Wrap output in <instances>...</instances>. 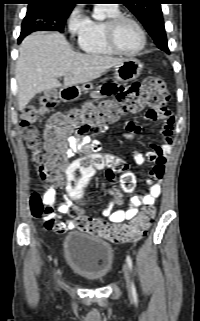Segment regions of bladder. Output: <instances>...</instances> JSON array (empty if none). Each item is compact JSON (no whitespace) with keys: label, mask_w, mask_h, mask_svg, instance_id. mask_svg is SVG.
Here are the masks:
<instances>
[{"label":"bladder","mask_w":200,"mask_h":321,"mask_svg":"<svg viewBox=\"0 0 200 321\" xmlns=\"http://www.w3.org/2000/svg\"><path fill=\"white\" fill-rule=\"evenodd\" d=\"M70 268L90 281H104L112 271L114 250L102 238L88 232L73 231L63 242Z\"/></svg>","instance_id":"obj_1"}]
</instances>
